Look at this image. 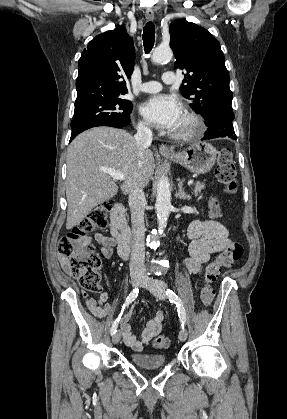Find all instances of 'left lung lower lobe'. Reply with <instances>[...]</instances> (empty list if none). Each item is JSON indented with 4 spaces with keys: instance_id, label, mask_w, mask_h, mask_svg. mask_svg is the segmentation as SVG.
Instances as JSON below:
<instances>
[{
    "instance_id": "0a47b994",
    "label": "left lung lower lobe",
    "mask_w": 287,
    "mask_h": 419,
    "mask_svg": "<svg viewBox=\"0 0 287 419\" xmlns=\"http://www.w3.org/2000/svg\"><path fill=\"white\" fill-rule=\"evenodd\" d=\"M234 113L231 105H223L217 108L209 121L206 122L208 127L202 140L213 139L218 137H229L236 140L233 129Z\"/></svg>"
}]
</instances>
